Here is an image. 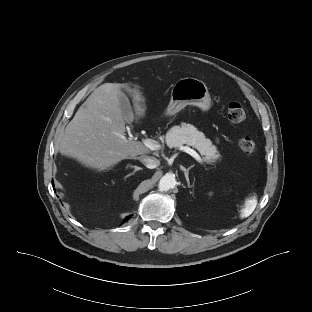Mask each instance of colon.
Segmentation results:
<instances>
[{"label": "colon", "mask_w": 312, "mask_h": 312, "mask_svg": "<svg viewBox=\"0 0 312 312\" xmlns=\"http://www.w3.org/2000/svg\"><path fill=\"white\" fill-rule=\"evenodd\" d=\"M227 116L232 123H241L245 120L246 113L243 106L238 102H231L227 107ZM240 149L247 154L255 151V141L250 136H243L239 141Z\"/></svg>", "instance_id": "colon-1"}]
</instances>
